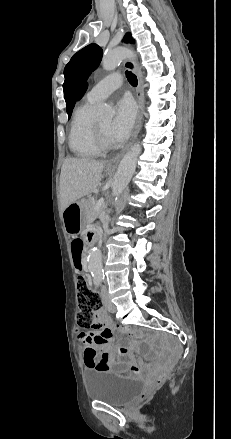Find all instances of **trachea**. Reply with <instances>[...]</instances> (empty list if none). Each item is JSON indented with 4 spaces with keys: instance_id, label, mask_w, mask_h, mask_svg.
Segmentation results:
<instances>
[{
    "instance_id": "1",
    "label": "trachea",
    "mask_w": 231,
    "mask_h": 439,
    "mask_svg": "<svg viewBox=\"0 0 231 439\" xmlns=\"http://www.w3.org/2000/svg\"><path fill=\"white\" fill-rule=\"evenodd\" d=\"M126 77H127V79H128V81H129V83L132 85V86H137V84H138V81H137V77H136V75H134L132 72H130V71H126Z\"/></svg>"
}]
</instances>
